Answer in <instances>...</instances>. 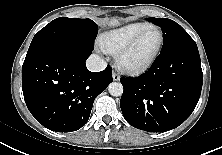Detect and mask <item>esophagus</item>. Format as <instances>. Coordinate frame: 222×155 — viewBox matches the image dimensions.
<instances>
[{
	"instance_id": "esophagus-1",
	"label": "esophagus",
	"mask_w": 222,
	"mask_h": 155,
	"mask_svg": "<svg viewBox=\"0 0 222 155\" xmlns=\"http://www.w3.org/2000/svg\"><path fill=\"white\" fill-rule=\"evenodd\" d=\"M112 78H113L114 81H118L120 79V76L116 72H113L112 73Z\"/></svg>"
}]
</instances>
